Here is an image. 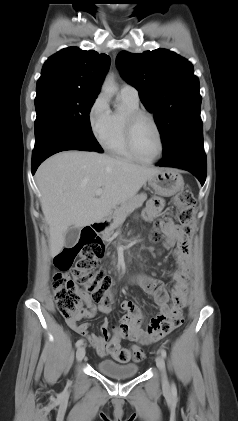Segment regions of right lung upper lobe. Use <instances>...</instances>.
<instances>
[{"mask_svg": "<svg viewBox=\"0 0 238 421\" xmlns=\"http://www.w3.org/2000/svg\"><path fill=\"white\" fill-rule=\"evenodd\" d=\"M109 65L106 54L68 47L44 63L37 89L57 87L99 94Z\"/></svg>", "mask_w": 238, "mask_h": 421, "instance_id": "right-lung-upper-lobe-1", "label": "right lung upper lobe"}]
</instances>
